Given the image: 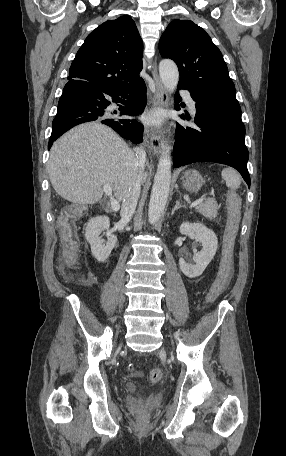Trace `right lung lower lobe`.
Returning a JSON list of instances; mask_svg holds the SVG:
<instances>
[{"instance_id":"obj_1","label":"right lung lower lobe","mask_w":286,"mask_h":456,"mask_svg":"<svg viewBox=\"0 0 286 456\" xmlns=\"http://www.w3.org/2000/svg\"><path fill=\"white\" fill-rule=\"evenodd\" d=\"M146 101L143 79L129 87L111 91L102 90L88 82L69 80L58 102L48 149L63 133L89 121H99L113 128L121 137L135 144L141 143L143 126L137 120L123 116L141 113ZM114 104L124 105L119 109V113L110 110V106Z\"/></svg>"}]
</instances>
